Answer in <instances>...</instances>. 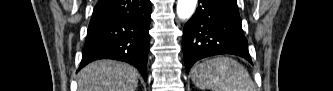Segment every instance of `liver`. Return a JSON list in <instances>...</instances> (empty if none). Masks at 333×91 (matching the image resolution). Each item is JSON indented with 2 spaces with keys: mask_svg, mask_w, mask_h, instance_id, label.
Returning a JSON list of instances; mask_svg holds the SVG:
<instances>
[{
  "mask_svg": "<svg viewBox=\"0 0 333 91\" xmlns=\"http://www.w3.org/2000/svg\"><path fill=\"white\" fill-rule=\"evenodd\" d=\"M77 82L78 91H135L138 72L122 62L99 60L85 66Z\"/></svg>",
  "mask_w": 333,
  "mask_h": 91,
  "instance_id": "liver-1",
  "label": "liver"
}]
</instances>
